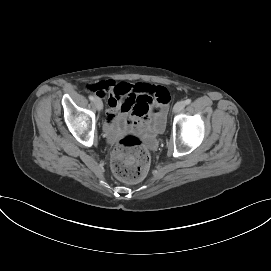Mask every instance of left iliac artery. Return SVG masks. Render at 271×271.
<instances>
[{
  "label": "left iliac artery",
  "mask_w": 271,
  "mask_h": 271,
  "mask_svg": "<svg viewBox=\"0 0 271 271\" xmlns=\"http://www.w3.org/2000/svg\"><path fill=\"white\" fill-rule=\"evenodd\" d=\"M190 103H191V100H190V99L185 100V104H186V105H188V104H190Z\"/></svg>",
  "instance_id": "left-iliac-artery-1"
}]
</instances>
